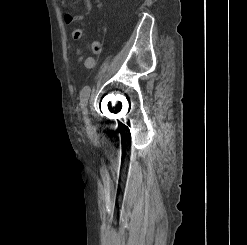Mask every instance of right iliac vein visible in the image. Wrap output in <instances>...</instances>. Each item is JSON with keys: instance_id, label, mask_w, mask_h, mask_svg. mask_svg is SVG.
<instances>
[{"instance_id": "1", "label": "right iliac vein", "mask_w": 247, "mask_h": 245, "mask_svg": "<svg viewBox=\"0 0 247 245\" xmlns=\"http://www.w3.org/2000/svg\"><path fill=\"white\" fill-rule=\"evenodd\" d=\"M85 113H86V115H87V108H85Z\"/></svg>"}]
</instances>
